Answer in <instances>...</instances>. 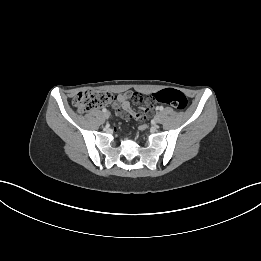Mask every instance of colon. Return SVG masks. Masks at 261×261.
<instances>
[{
	"label": "colon",
	"mask_w": 261,
	"mask_h": 261,
	"mask_svg": "<svg viewBox=\"0 0 261 261\" xmlns=\"http://www.w3.org/2000/svg\"><path fill=\"white\" fill-rule=\"evenodd\" d=\"M134 94V93H133ZM156 102L165 103L177 110H183L187 106L186 96L175 89H164L152 95ZM119 100L118 95L106 91L87 89L79 92L73 99L74 106L79 112L91 111L102 105H106Z\"/></svg>",
	"instance_id": "5ec220e1"
}]
</instances>
